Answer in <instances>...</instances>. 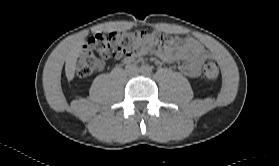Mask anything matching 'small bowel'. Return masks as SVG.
<instances>
[{
  "label": "small bowel",
  "instance_id": "c3829d8e",
  "mask_svg": "<svg viewBox=\"0 0 279 166\" xmlns=\"http://www.w3.org/2000/svg\"><path fill=\"white\" fill-rule=\"evenodd\" d=\"M150 48L138 50L134 55L127 57L126 63L132 62L135 58H140L147 54ZM159 57L165 62L181 60L180 70L189 77H197L200 74L202 61L207 57L205 48L195 39H188L186 43L177 48H165L155 50Z\"/></svg>",
  "mask_w": 279,
  "mask_h": 166
}]
</instances>
